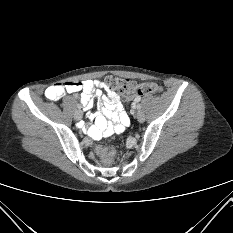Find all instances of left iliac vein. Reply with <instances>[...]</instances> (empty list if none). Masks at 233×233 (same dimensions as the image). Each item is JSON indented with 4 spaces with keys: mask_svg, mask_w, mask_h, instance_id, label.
Here are the masks:
<instances>
[{
    "mask_svg": "<svg viewBox=\"0 0 233 233\" xmlns=\"http://www.w3.org/2000/svg\"><path fill=\"white\" fill-rule=\"evenodd\" d=\"M136 118L140 123H142L145 120V114L142 111H138Z\"/></svg>",
    "mask_w": 233,
    "mask_h": 233,
    "instance_id": "obj_1",
    "label": "left iliac vein"
}]
</instances>
